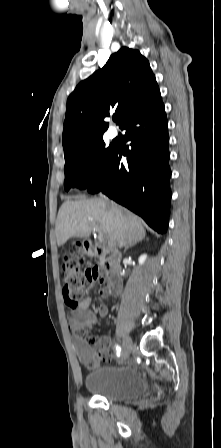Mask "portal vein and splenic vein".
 I'll use <instances>...</instances> for the list:
<instances>
[{
	"label": "portal vein and splenic vein",
	"mask_w": 221,
	"mask_h": 448,
	"mask_svg": "<svg viewBox=\"0 0 221 448\" xmlns=\"http://www.w3.org/2000/svg\"><path fill=\"white\" fill-rule=\"evenodd\" d=\"M98 239L100 242H104V234L99 233Z\"/></svg>",
	"instance_id": "obj_1"
}]
</instances>
